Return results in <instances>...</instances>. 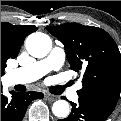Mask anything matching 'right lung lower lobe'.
<instances>
[{
    "mask_svg": "<svg viewBox=\"0 0 121 121\" xmlns=\"http://www.w3.org/2000/svg\"><path fill=\"white\" fill-rule=\"evenodd\" d=\"M10 93L11 98L4 96L1 86V121H21L30 102L43 97V93L34 91Z\"/></svg>",
    "mask_w": 121,
    "mask_h": 121,
    "instance_id": "obj_1",
    "label": "right lung lower lobe"
}]
</instances>
